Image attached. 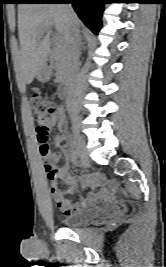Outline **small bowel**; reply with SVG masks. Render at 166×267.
I'll return each instance as SVG.
<instances>
[{
	"mask_svg": "<svg viewBox=\"0 0 166 267\" xmlns=\"http://www.w3.org/2000/svg\"><path fill=\"white\" fill-rule=\"evenodd\" d=\"M65 121V115L64 110L62 108H59L57 110V113L48 119L47 121V128L48 130L57 125L59 128H62ZM61 143V137L58 135L54 139V144L58 146ZM59 160V154L58 153H52L49 154L48 157H46V161H49L51 163H56ZM69 164H65L59 168L58 170V176L57 178L63 180L70 186V190H73L75 186V178L72 177L68 172ZM103 182V177L99 174L93 175L89 179H83L81 181V184L84 188H87L93 184H99ZM113 190L112 185H106L102 191L99 194L96 193H89L86 197L81 198L79 202L73 203L69 199H67L63 192L59 189L58 182L55 179H51L50 184V192L55 200V203L57 207L65 214L70 215L76 212H79L92 204H94L98 199H108L110 197V192Z\"/></svg>",
	"mask_w": 166,
	"mask_h": 267,
	"instance_id": "obj_1",
	"label": "small bowel"
}]
</instances>
